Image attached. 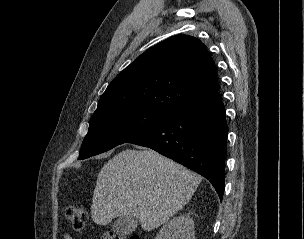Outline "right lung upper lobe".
I'll list each match as a JSON object with an SVG mask.
<instances>
[{"instance_id": "1", "label": "right lung upper lobe", "mask_w": 304, "mask_h": 239, "mask_svg": "<svg viewBox=\"0 0 304 239\" xmlns=\"http://www.w3.org/2000/svg\"><path fill=\"white\" fill-rule=\"evenodd\" d=\"M217 90L216 67L206 46L195 37L176 35L119 73L101 96L94 115L138 107L172 116Z\"/></svg>"}]
</instances>
